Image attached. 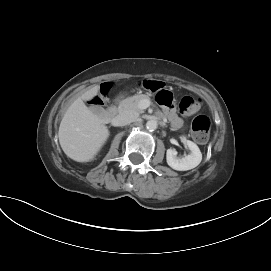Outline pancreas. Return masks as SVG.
Instances as JSON below:
<instances>
[{
    "label": "pancreas",
    "mask_w": 271,
    "mask_h": 271,
    "mask_svg": "<svg viewBox=\"0 0 271 271\" xmlns=\"http://www.w3.org/2000/svg\"><path fill=\"white\" fill-rule=\"evenodd\" d=\"M143 100H149V97L145 94L134 95L122 100L118 106V111L131 110L134 112L142 113L143 109L140 107V102Z\"/></svg>",
    "instance_id": "pancreas-1"
}]
</instances>
